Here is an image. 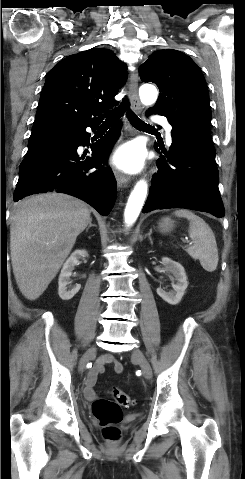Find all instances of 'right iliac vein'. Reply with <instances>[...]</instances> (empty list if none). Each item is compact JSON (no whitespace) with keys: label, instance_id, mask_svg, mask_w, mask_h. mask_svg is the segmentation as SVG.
Masks as SVG:
<instances>
[{"label":"right iliac vein","instance_id":"63e3f726","mask_svg":"<svg viewBox=\"0 0 245 479\" xmlns=\"http://www.w3.org/2000/svg\"><path fill=\"white\" fill-rule=\"evenodd\" d=\"M96 347L90 348L86 354L82 357L80 364H79V370L80 372H83L86 364L89 362V360L96 354Z\"/></svg>","mask_w":245,"mask_h":479}]
</instances>
